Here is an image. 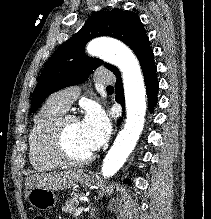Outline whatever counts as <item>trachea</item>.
I'll list each match as a JSON object with an SVG mask.
<instances>
[{"label": "trachea", "instance_id": "3493384b", "mask_svg": "<svg viewBox=\"0 0 211 219\" xmlns=\"http://www.w3.org/2000/svg\"><path fill=\"white\" fill-rule=\"evenodd\" d=\"M106 89H113V86H107Z\"/></svg>", "mask_w": 211, "mask_h": 219}]
</instances>
